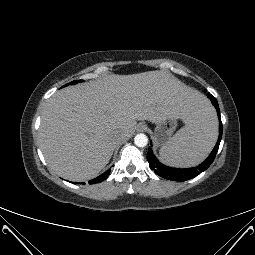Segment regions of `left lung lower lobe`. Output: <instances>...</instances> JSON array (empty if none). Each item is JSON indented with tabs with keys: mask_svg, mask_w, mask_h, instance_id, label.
<instances>
[{
	"mask_svg": "<svg viewBox=\"0 0 255 255\" xmlns=\"http://www.w3.org/2000/svg\"><path fill=\"white\" fill-rule=\"evenodd\" d=\"M208 97L212 101V104L215 106L217 113H218V118H219V138H218V141H217L213 151L211 152L209 157L203 163L198 165L197 167L188 168V169H177V168L167 167V166L161 164L157 160L155 155L153 154L152 149L149 148L148 154H147V160L149 162V166L160 177H163L168 180H174V181H186V180L196 177L201 172L205 171L213 162V160L217 154L219 144L221 141V137H222V122H221V118H220V110H219L217 100L211 94H209Z\"/></svg>",
	"mask_w": 255,
	"mask_h": 255,
	"instance_id": "1",
	"label": "left lung lower lobe"
}]
</instances>
